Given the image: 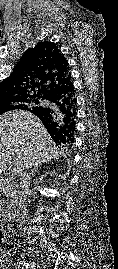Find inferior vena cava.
I'll return each instance as SVG.
<instances>
[{
    "mask_svg": "<svg viewBox=\"0 0 118 269\" xmlns=\"http://www.w3.org/2000/svg\"><path fill=\"white\" fill-rule=\"evenodd\" d=\"M19 188H20V193H19V206L22 210V213L20 214V218H19V222L20 225L22 226L25 223V210H26V198H25V191L28 188V180H29V174L27 172V170H23L21 171L19 174Z\"/></svg>",
    "mask_w": 118,
    "mask_h": 269,
    "instance_id": "602c4592",
    "label": "inferior vena cava"
}]
</instances>
